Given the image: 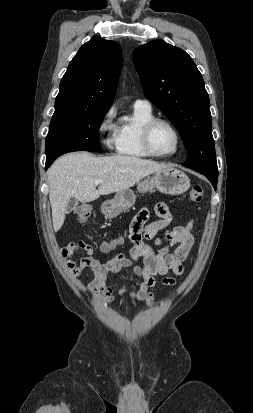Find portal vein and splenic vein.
I'll use <instances>...</instances> for the list:
<instances>
[{"mask_svg":"<svg viewBox=\"0 0 253 413\" xmlns=\"http://www.w3.org/2000/svg\"><path fill=\"white\" fill-rule=\"evenodd\" d=\"M101 182H102L101 180H96V181L94 182V184H95V185H99Z\"/></svg>","mask_w":253,"mask_h":413,"instance_id":"obj_1","label":"portal vein and splenic vein"}]
</instances>
